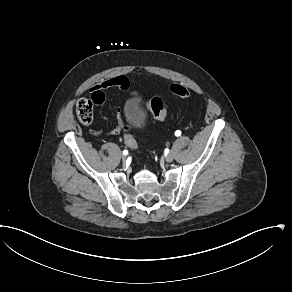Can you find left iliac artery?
<instances>
[{
  "instance_id": "obj_1",
  "label": "left iliac artery",
  "mask_w": 292,
  "mask_h": 292,
  "mask_svg": "<svg viewBox=\"0 0 292 292\" xmlns=\"http://www.w3.org/2000/svg\"><path fill=\"white\" fill-rule=\"evenodd\" d=\"M175 134H176V136H180L181 132L180 131H176Z\"/></svg>"
}]
</instances>
